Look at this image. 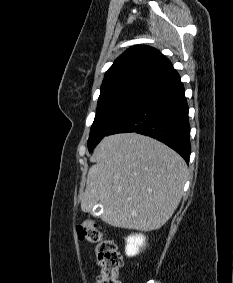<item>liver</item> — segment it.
<instances>
[{
  "label": "liver",
  "instance_id": "obj_1",
  "mask_svg": "<svg viewBox=\"0 0 233 283\" xmlns=\"http://www.w3.org/2000/svg\"><path fill=\"white\" fill-rule=\"evenodd\" d=\"M81 210L103 207L102 221L119 228L152 231L177 209L188 168L165 144L137 133L106 136L95 148Z\"/></svg>",
  "mask_w": 233,
  "mask_h": 283
}]
</instances>
